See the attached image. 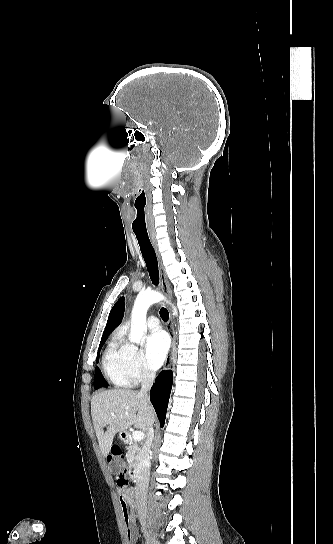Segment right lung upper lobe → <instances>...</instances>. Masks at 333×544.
I'll return each instance as SVG.
<instances>
[{
  "label": "right lung upper lobe",
  "mask_w": 333,
  "mask_h": 544,
  "mask_svg": "<svg viewBox=\"0 0 333 544\" xmlns=\"http://www.w3.org/2000/svg\"><path fill=\"white\" fill-rule=\"evenodd\" d=\"M124 307V297H122L116 302L110 311L102 339L107 338L109 334L121 323L124 315Z\"/></svg>",
  "instance_id": "right-lung-upper-lobe-1"
}]
</instances>
